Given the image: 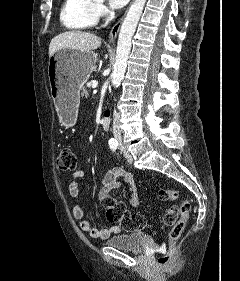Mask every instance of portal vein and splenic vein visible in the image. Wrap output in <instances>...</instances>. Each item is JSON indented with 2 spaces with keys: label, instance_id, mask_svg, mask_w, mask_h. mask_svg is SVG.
Masks as SVG:
<instances>
[{
  "label": "portal vein and splenic vein",
  "instance_id": "1",
  "mask_svg": "<svg viewBox=\"0 0 240 281\" xmlns=\"http://www.w3.org/2000/svg\"><path fill=\"white\" fill-rule=\"evenodd\" d=\"M89 85H90V84H89ZM92 87H93V88H96V87H97V83H93V84H92ZM93 92L96 93L97 90L95 89Z\"/></svg>",
  "mask_w": 240,
  "mask_h": 281
}]
</instances>
